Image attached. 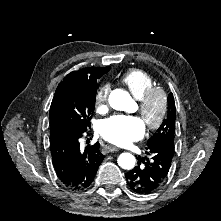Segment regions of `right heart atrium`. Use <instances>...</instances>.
<instances>
[{
  "label": "right heart atrium",
  "instance_id": "1",
  "mask_svg": "<svg viewBox=\"0 0 221 221\" xmlns=\"http://www.w3.org/2000/svg\"><path fill=\"white\" fill-rule=\"evenodd\" d=\"M109 91V84H104L97 89L94 98V104L97 109H103L104 107H106V105L108 104Z\"/></svg>",
  "mask_w": 221,
  "mask_h": 221
}]
</instances>
